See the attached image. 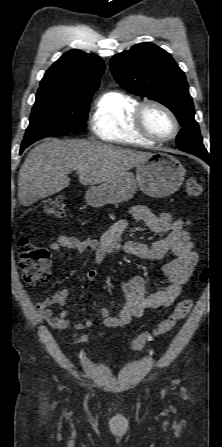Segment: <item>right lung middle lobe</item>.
I'll use <instances>...</instances> for the list:
<instances>
[{
	"mask_svg": "<svg viewBox=\"0 0 222 447\" xmlns=\"http://www.w3.org/2000/svg\"><path fill=\"white\" fill-rule=\"evenodd\" d=\"M93 94L70 95L54 89H39L21 151L43 137L84 130Z\"/></svg>",
	"mask_w": 222,
	"mask_h": 447,
	"instance_id": "1",
	"label": "right lung middle lobe"
}]
</instances>
